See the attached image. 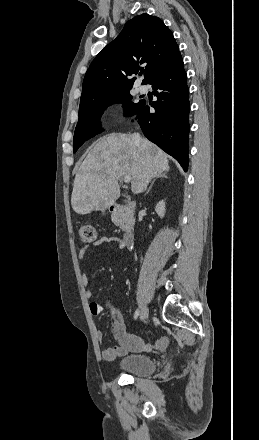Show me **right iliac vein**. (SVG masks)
Here are the masks:
<instances>
[{
  "mask_svg": "<svg viewBox=\"0 0 259 440\" xmlns=\"http://www.w3.org/2000/svg\"><path fill=\"white\" fill-rule=\"evenodd\" d=\"M149 309L147 306L143 307L141 314H140V320L145 321L148 317Z\"/></svg>",
  "mask_w": 259,
  "mask_h": 440,
  "instance_id": "63e3f726",
  "label": "right iliac vein"
}]
</instances>
